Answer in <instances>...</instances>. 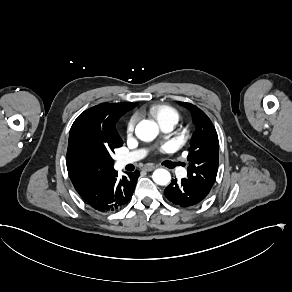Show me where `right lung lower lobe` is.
Masks as SVG:
<instances>
[{"instance_id": "98d812e1", "label": "right lung lower lobe", "mask_w": 292, "mask_h": 292, "mask_svg": "<svg viewBox=\"0 0 292 292\" xmlns=\"http://www.w3.org/2000/svg\"><path fill=\"white\" fill-rule=\"evenodd\" d=\"M81 198L93 209L113 212L124 207L134 192L139 171L118 177L117 171L106 174L69 175Z\"/></svg>"}]
</instances>
